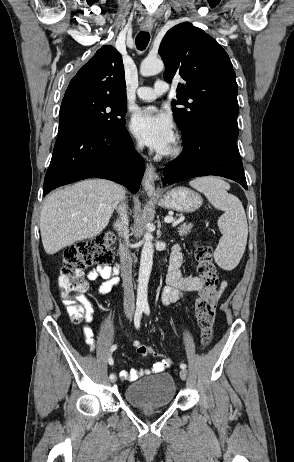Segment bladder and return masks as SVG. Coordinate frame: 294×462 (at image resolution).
Returning a JSON list of instances; mask_svg holds the SVG:
<instances>
[{"label":"bladder","instance_id":"31cf9c89","mask_svg":"<svg viewBox=\"0 0 294 462\" xmlns=\"http://www.w3.org/2000/svg\"><path fill=\"white\" fill-rule=\"evenodd\" d=\"M176 383L169 373H157L128 385L125 400L139 408H162L176 397Z\"/></svg>","mask_w":294,"mask_h":462}]
</instances>
